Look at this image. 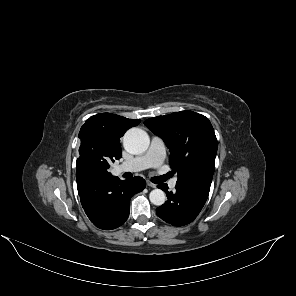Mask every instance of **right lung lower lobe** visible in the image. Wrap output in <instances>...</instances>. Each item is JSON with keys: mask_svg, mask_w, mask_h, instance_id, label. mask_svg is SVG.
<instances>
[{"mask_svg": "<svg viewBox=\"0 0 296 296\" xmlns=\"http://www.w3.org/2000/svg\"><path fill=\"white\" fill-rule=\"evenodd\" d=\"M77 189L82 207L98 228L115 229L127 220L131 197L142 191L145 180L134 177L120 180L116 176L102 175L87 160L77 159Z\"/></svg>", "mask_w": 296, "mask_h": 296, "instance_id": "1", "label": "right lung lower lobe"}]
</instances>
